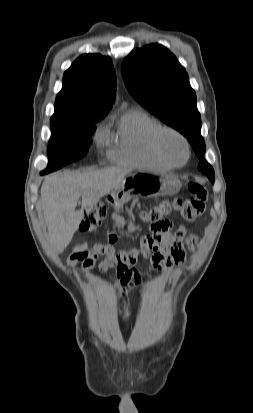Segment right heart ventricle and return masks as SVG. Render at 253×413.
Listing matches in <instances>:
<instances>
[{
	"instance_id": "obj_1",
	"label": "right heart ventricle",
	"mask_w": 253,
	"mask_h": 413,
	"mask_svg": "<svg viewBox=\"0 0 253 413\" xmlns=\"http://www.w3.org/2000/svg\"><path fill=\"white\" fill-rule=\"evenodd\" d=\"M159 124L146 112L130 109L119 119L116 143L109 155L113 161L133 167L169 169L153 146V136Z\"/></svg>"
}]
</instances>
